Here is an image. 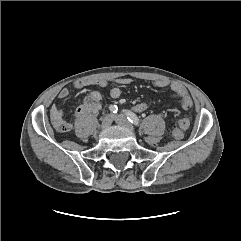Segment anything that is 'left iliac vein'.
I'll return each instance as SVG.
<instances>
[{"label": "left iliac vein", "instance_id": "4c4485c4", "mask_svg": "<svg viewBox=\"0 0 241 241\" xmlns=\"http://www.w3.org/2000/svg\"><path fill=\"white\" fill-rule=\"evenodd\" d=\"M114 120L117 124L124 126L126 128H128L129 130L133 131V126L131 125V123L127 120L126 117H124L123 115H116L114 117Z\"/></svg>", "mask_w": 241, "mask_h": 241}]
</instances>
